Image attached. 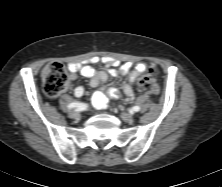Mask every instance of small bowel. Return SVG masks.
<instances>
[{"label": "small bowel", "mask_w": 222, "mask_h": 187, "mask_svg": "<svg viewBox=\"0 0 222 187\" xmlns=\"http://www.w3.org/2000/svg\"><path fill=\"white\" fill-rule=\"evenodd\" d=\"M102 63L105 65V69L96 70L91 64ZM148 64L140 62L133 64L131 62H120L117 59L111 57H91L87 63H71L68 65L70 70V77L75 80L77 75H81L90 80L92 86L107 80L109 76L128 75V82L124 83L120 88L109 87L96 91L92 96V103L96 108L105 109L108 106L109 98L117 99L124 94L126 97L131 98L133 96V83L138 77L148 69ZM85 93L83 86H76L74 88V95L81 97Z\"/></svg>", "instance_id": "small-bowel-1"}]
</instances>
